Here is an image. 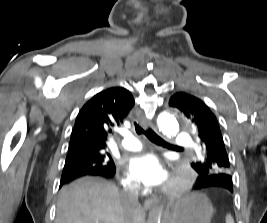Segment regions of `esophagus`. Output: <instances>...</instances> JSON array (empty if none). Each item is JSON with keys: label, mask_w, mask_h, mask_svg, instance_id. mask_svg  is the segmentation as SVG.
<instances>
[{"label": "esophagus", "mask_w": 267, "mask_h": 223, "mask_svg": "<svg viewBox=\"0 0 267 223\" xmlns=\"http://www.w3.org/2000/svg\"><path fill=\"white\" fill-rule=\"evenodd\" d=\"M139 121L142 127L155 130V127L152 125V123L149 120H147L145 117H141ZM155 203H156V200L154 198L147 199L144 201V207L148 209L151 206H153Z\"/></svg>", "instance_id": "1"}]
</instances>
